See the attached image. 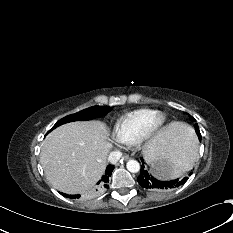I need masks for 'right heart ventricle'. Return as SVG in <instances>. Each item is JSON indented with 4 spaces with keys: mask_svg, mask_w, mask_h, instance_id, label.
<instances>
[{
    "mask_svg": "<svg viewBox=\"0 0 233 233\" xmlns=\"http://www.w3.org/2000/svg\"><path fill=\"white\" fill-rule=\"evenodd\" d=\"M156 110L141 108L126 113L120 117L113 129V138L121 144H134L139 140L149 119L156 113Z\"/></svg>",
    "mask_w": 233,
    "mask_h": 233,
    "instance_id": "right-heart-ventricle-1",
    "label": "right heart ventricle"
}]
</instances>
